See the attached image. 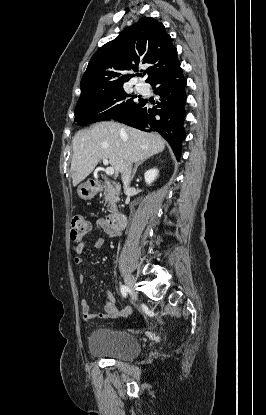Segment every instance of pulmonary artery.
<instances>
[{
  "mask_svg": "<svg viewBox=\"0 0 266 415\" xmlns=\"http://www.w3.org/2000/svg\"><path fill=\"white\" fill-rule=\"evenodd\" d=\"M137 89L139 91H145L146 90V86L142 83L137 84Z\"/></svg>",
  "mask_w": 266,
  "mask_h": 415,
  "instance_id": "pulmonary-artery-1",
  "label": "pulmonary artery"
}]
</instances>
